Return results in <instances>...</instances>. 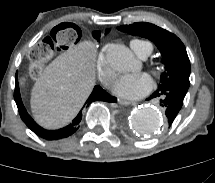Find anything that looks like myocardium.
Here are the masks:
<instances>
[{"mask_svg":"<svg viewBox=\"0 0 215 183\" xmlns=\"http://www.w3.org/2000/svg\"><path fill=\"white\" fill-rule=\"evenodd\" d=\"M150 71L155 77H160L164 69L162 66L155 64L151 66Z\"/></svg>","mask_w":215,"mask_h":183,"instance_id":"obj_1","label":"myocardium"}]
</instances>
